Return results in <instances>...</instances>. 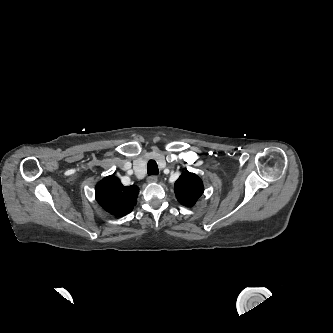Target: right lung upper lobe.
<instances>
[{"label":"right lung upper lobe","instance_id":"cb5924a9","mask_svg":"<svg viewBox=\"0 0 333 333\" xmlns=\"http://www.w3.org/2000/svg\"><path fill=\"white\" fill-rule=\"evenodd\" d=\"M138 193V187L123 186L113 175L98 182L95 189L96 200L100 206L116 217L125 216L133 210Z\"/></svg>","mask_w":333,"mask_h":333}]
</instances>
